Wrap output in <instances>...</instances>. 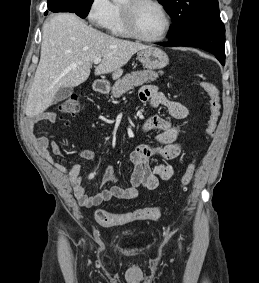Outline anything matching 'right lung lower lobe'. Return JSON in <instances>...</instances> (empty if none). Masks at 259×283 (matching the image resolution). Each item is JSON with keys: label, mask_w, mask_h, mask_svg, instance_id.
<instances>
[{"label": "right lung lower lobe", "mask_w": 259, "mask_h": 283, "mask_svg": "<svg viewBox=\"0 0 259 283\" xmlns=\"http://www.w3.org/2000/svg\"><path fill=\"white\" fill-rule=\"evenodd\" d=\"M48 9L52 12H72L77 13L80 1L79 0H47ZM48 12H45V15Z\"/></svg>", "instance_id": "98d812e1"}]
</instances>
